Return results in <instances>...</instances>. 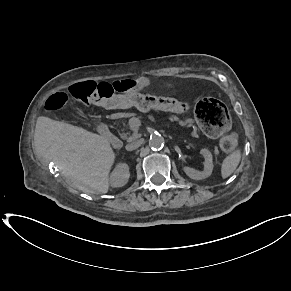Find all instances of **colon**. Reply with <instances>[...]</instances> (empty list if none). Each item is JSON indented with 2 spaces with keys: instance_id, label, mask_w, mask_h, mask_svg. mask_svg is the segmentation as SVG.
Instances as JSON below:
<instances>
[{
  "instance_id": "5ec220e1",
  "label": "colon",
  "mask_w": 291,
  "mask_h": 291,
  "mask_svg": "<svg viewBox=\"0 0 291 291\" xmlns=\"http://www.w3.org/2000/svg\"><path fill=\"white\" fill-rule=\"evenodd\" d=\"M127 80L115 82L86 81L72 85L67 92L51 95L45 102L47 111H56L65 107L73 99L84 105H101L112 108L134 106L142 112H172L173 116L184 118L194 109L197 123L209 136H221L220 146L233 151L237 145L235 134H227L230 127V115L225 105L215 98L204 97L196 104L193 101H179L170 93L133 94Z\"/></svg>"
}]
</instances>
